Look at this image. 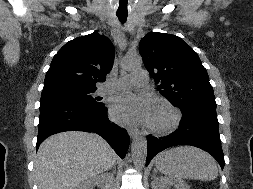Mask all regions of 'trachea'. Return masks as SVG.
I'll list each match as a JSON object with an SVG mask.
<instances>
[{
	"instance_id": "3493384b",
	"label": "trachea",
	"mask_w": 253,
	"mask_h": 189,
	"mask_svg": "<svg viewBox=\"0 0 253 189\" xmlns=\"http://www.w3.org/2000/svg\"><path fill=\"white\" fill-rule=\"evenodd\" d=\"M117 17L121 23H125L127 20V14H117Z\"/></svg>"
}]
</instances>
